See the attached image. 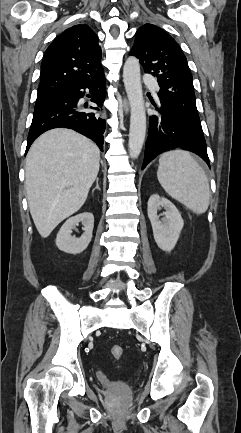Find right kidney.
Here are the masks:
<instances>
[{"mask_svg":"<svg viewBox=\"0 0 241 433\" xmlns=\"http://www.w3.org/2000/svg\"><path fill=\"white\" fill-rule=\"evenodd\" d=\"M80 222L84 226V233L80 238H75L71 235L72 229ZM93 227L94 216L92 213L83 212L69 218L57 234L56 245L58 249L69 254H79L83 252L92 239Z\"/></svg>","mask_w":241,"mask_h":433,"instance_id":"1","label":"right kidney"}]
</instances>
